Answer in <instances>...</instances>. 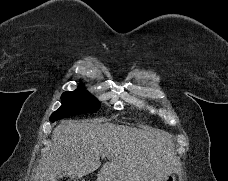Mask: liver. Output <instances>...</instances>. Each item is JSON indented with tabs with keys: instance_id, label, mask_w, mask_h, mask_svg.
<instances>
[{
	"instance_id": "liver-1",
	"label": "liver",
	"mask_w": 228,
	"mask_h": 181,
	"mask_svg": "<svg viewBox=\"0 0 228 181\" xmlns=\"http://www.w3.org/2000/svg\"><path fill=\"white\" fill-rule=\"evenodd\" d=\"M51 139L33 181H56L61 173L71 179L86 177L99 169L101 155L108 161L99 181H165L179 163L169 133L112 125L107 119L60 123Z\"/></svg>"
}]
</instances>
